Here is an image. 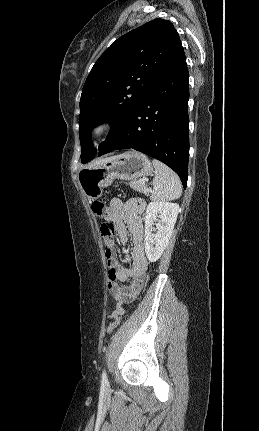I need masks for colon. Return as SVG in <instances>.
Here are the masks:
<instances>
[{
    "label": "colon",
    "instance_id": "1",
    "mask_svg": "<svg viewBox=\"0 0 259 431\" xmlns=\"http://www.w3.org/2000/svg\"><path fill=\"white\" fill-rule=\"evenodd\" d=\"M91 209L93 211V213L98 216L99 219H104L105 218V205L102 201H94L91 204ZM115 232V227L113 225V223L111 222H104L101 224L100 226V234L101 237L103 238V240L106 242L108 240H110ZM121 322V315L115 317L110 324L107 327V332L108 333H112L113 331H115L119 324Z\"/></svg>",
    "mask_w": 259,
    "mask_h": 431
}]
</instances>
